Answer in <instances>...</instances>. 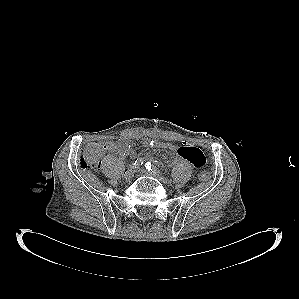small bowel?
<instances>
[{
  "instance_id": "small-bowel-1",
  "label": "small bowel",
  "mask_w": 299,
  "mask_h": 299,
  "mask_svg": "<svg viewBox=\"0 0 299 299\" xmlns=\"http://www.w3.org/2000/svg\"><path fill=\"white\" fill-rule=\"evenodd\" d=\"M108 148L106 151L118 152L122 156H127L131 154V147L127 139H122L120 142L116 143L113 141H108L105 143ZM141 146L144 148H160L167 149L176 153L178 157L184 159L191 163L195 168L201 169L206 164V158L203 152L197 147L191 144H184L182 146H176L169 142H161L156 140L143 139L141 141Z\"/></svg>"
}]
</instances>
